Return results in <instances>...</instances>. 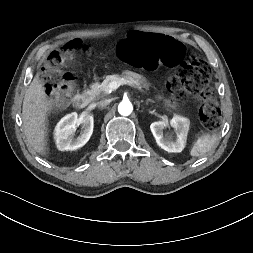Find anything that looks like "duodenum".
I'll list each match as a JSON object with an SVG mask.
<instances>
[{"instance_id":"1","label":"duodenum","mask_w":253,"mask_h":253,"mask_svg":"<svg viewBox=\"0 0 253 253\" xmlns=\"http://www.w3.org/2000/svg\"><path fill=\"white\" fill-rule=\"evenodd\" d=\"M94 98L93 90H89L87 92L78 94L73 99V105L78 108L82 109L85 108Z\"/></svg>"}]
</instances>
